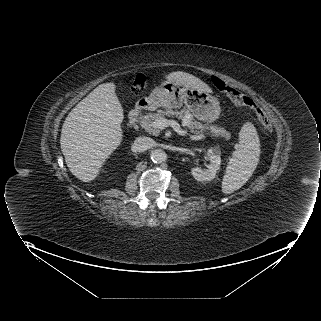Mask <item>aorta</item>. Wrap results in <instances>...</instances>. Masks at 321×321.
I'll use <instances>...</instances> for the list:
<instances>
[{"mask_svg":"<svg viewBox=\"0 0 321 321\" xmlns=\"http://www.w3.org/2000/svg\"><path fill=\"white\" fill-rule=\"evenodd\" d=\"M167 159V154L164 150L162 149H155L151 152V160L154 163H163L165 162Z\"/></svg>","mask_w":321,"mask_h":321,"instance_id":"aorta-1","label":"aorta"}]
</instances>
